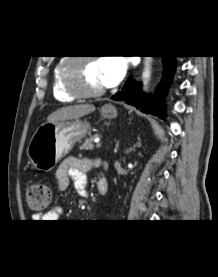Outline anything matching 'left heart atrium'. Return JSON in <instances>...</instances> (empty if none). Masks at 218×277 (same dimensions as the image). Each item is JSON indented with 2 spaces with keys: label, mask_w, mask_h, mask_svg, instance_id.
<instances>
[{
  "label": "left heart atrium",
  "mask_w": 218,
  "mask_h": 277,
  "mask_svg": "<svg viewBox=\"0 0 218 277\" xmlns=\"http://www.w3.org/2000/svg\"><path fill=\"white\" fill-rule=\"evenodd\" d=\"M101 80L104 87H113L123 78L127 64L120 57H105L98 62Z\"/></svg>",
  "instance_id": "left-heart-atrium-1"
}]
</instances>
